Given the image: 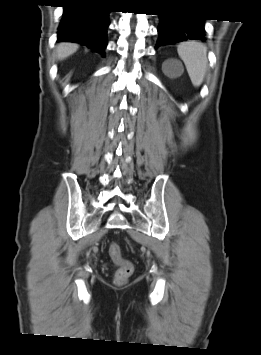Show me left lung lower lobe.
<instances>
[{
	"instance_id": "obj_1",
	"label": "left lung lower lobe",
	"mask_w": 261,
	"mask_h": 355,
	"mask_svg": "<svg viewBox=\"0 0 261 355\" xmlns=\"http://www.w3.org/2000/svg\"><path fill=\"white\" fill-rule=\"evenodd\" d=\"M160 16L157 46L175 44L185 40H202L205 38L203 18Z\"/></svg>"
}]
</instances>
